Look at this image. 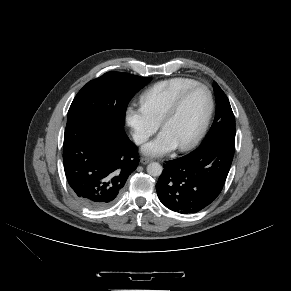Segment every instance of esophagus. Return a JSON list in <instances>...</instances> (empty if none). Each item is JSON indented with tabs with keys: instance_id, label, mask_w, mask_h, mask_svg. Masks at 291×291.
<instances>
[{
	"instance_id": "esophagus-1",
	"label": "esophagus",
	"mask_w": 291,
	"mask_h": 291,
	"mask_svg": "<svg viewBox=\"0 0 291 291\" xmlns=\"http://www.w3.org/2000/svg\"><path fill=\"white\" fill-rule=\"evenodd\" d=\"M152 161V159L151 158H148V157H142L141 159H140V163H142V164H148L149 162H151Z\"/></svg>"
}]
</instances>
